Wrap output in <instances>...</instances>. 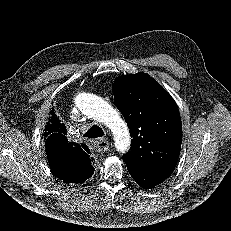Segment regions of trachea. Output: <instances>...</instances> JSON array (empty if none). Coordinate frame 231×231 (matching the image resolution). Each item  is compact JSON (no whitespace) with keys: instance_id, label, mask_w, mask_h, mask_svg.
<instances>
[{"instance_id":"3493384b","label":"trachea","mask_w":231,"mask_h":231,"mask_svg":"<svg viewBox=\"0 0 231 231\" xmlns=\"http://www.w3.org/2000/svg\"><path fill=\"white\" fill-rule=\"evenodd\" d=\"M85 137L87 138H99L104 136V132L101 127L97 125L91 126L87 132L84 134Z\"/></svg>"}]
</instances>
